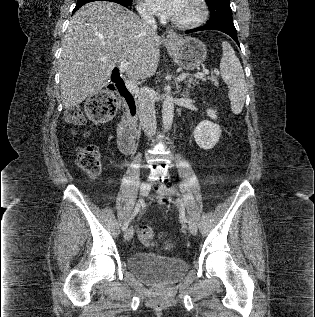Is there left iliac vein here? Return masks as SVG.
I'll use <instances>...</instances> for the list:
<instances>
[{"label":"left iliac vein","instance_id":"4c4485c4","mask_svg":"<svg viewBox=\"0 0 315 317\" xmlns=\"http://www.w3.org/2000/svg\"><path fill=\"white\" fill-rule=\"evenodd\" d=\"M158 194L162 197H170L173 195L172 193V190L170 188H168L166 185L162 184L160 186V188L158 189ZM175 204L178 206V207H181V201L179 199H176L175 200ZM186 223L188 225V229L190 231V233L192 235H196L197 234V225H196V222L194 221V219L189 216V215H186Z\"/></svg>","mask_w":315,"mask_h":317}]
</instances>
